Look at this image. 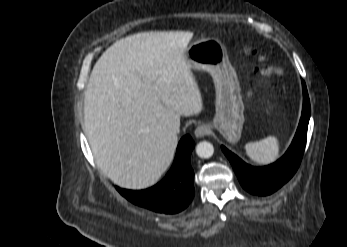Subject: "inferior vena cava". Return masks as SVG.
Segmentation results:
<instances>
[{
	"instance_id": "602c4592",
	"label": "inferior vena cava",
	"mask_w": 347,
	"mask_h": 247,
	"mask_svg": "<svg viewBox=\"0 0 347 247\" xmlns=\"http://www.w3.org/2000/svg\"><path fill=\"white\" fill-rule=\"evenodd\" d=\"M171 132H172L173 134H178V133L180 132L179 126H178V125H173V126L171 127Z\"/></svg>"
}]
</instances>
